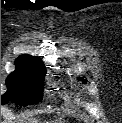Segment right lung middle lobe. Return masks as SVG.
<instances>
[{"label":"right lung middle lobe","instance_id":"dd1d6c3e","mask_svg":"<svg viewBox=\"0 0 122 123\" xmlns=\"http://www.w3.org/2000/svg\"><path fill=\"white\" fill-rule=\"evenodd\" d=\"M46 70L16 65V70L6 79L7 92L1 96V104L15 102L19 105L39 103L43 98Z\"/></svg>","mask_w":122,"mask_h":123}]
</instances>
